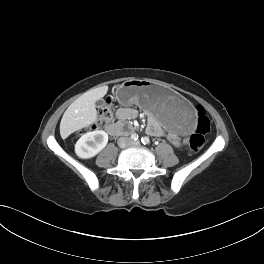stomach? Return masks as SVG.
I'll list each match as a JSON object with an SVG mask.
<instances>
[{
    "label": "stomach",
    "instance_id": "0dacf381",
    "mask_svg": "<svg viewBox=\"0 0 264 264\" xmlns=\"http://www.w3.org/2000/svg\"><path fill=\"white\" fill-rule=\"evenodd\" d=\"M119 93L124 103L139 106L178 136L186 137L194 131V111L170 88L149 79H131L120 85Z\"/></svg>",
    "mask_w": 264,
    "mask_h": 264
}]
</instances>
